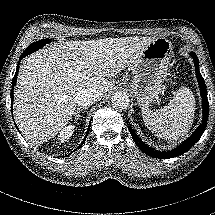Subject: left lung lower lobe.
I'll list each match as a JSON object with an SVG mask.
<instances>
[{"label":"left lung lower lobe","mask_w":215,"mask_h":215,"mask_svg":"<svg viewBox=\"0 0 215 215\" xmlns=\"http://www.w3.org/2000/svg\"><path fill=\"white\" fill-rule=\"evenodd\" d=\"M191 57L194 60L195 64V72L197 76V80L199 83V87L201 89V96H202V104H203V122L200 124V126L195 130V132L182 144L177 146V148L172 149L170 151H157L153 148L149 147L147 144H145L135 133V131L129 126L128 129L132 135L133 140L135 141L136 145L140 148L142 152L147 154L148 156H151L153 158H159V159H167V158H174L181 154H184L187 152L202 136L208 120V113H209V106H208V100H207V89L206 84L204 82V79L199 71V63L198 58L195 53H190Z\"/></svg>","instance_id":"obj_1"}]
</instances>
